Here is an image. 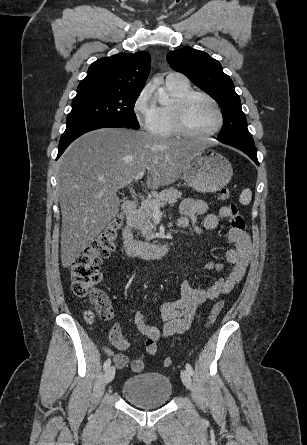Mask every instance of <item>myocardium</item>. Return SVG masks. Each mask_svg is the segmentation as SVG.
Here are the masks:
<instances>
[{
    "label": "myocardium",
    "mask_w": 307,
    "mask_h": 445,
    "mask_svg": "<svg viewBox=\"0 0 307 445\" xmlns=\"http://www.w3.org/2000/svg\"><path fill=\"white\" fill-rule=\"evenodd\" d=\"M196 99H203L213 104L219 112L220 122L219 125L208 132L195 131L188 122L187 110L189 105ZM168 111L172 122L177 130V134L184 135L180 139H204L214 136L220 132L226 124V114L222 105L208 94L199 91H191L187 95L177 100L170 101L168 104Z\"/></svg>",
    "instance_id": "1"
}]
</instances>
